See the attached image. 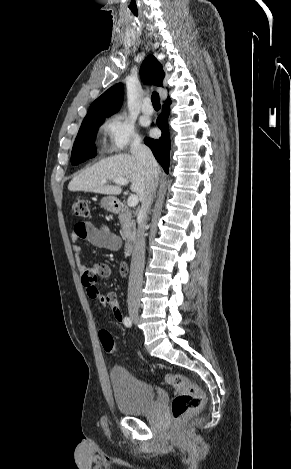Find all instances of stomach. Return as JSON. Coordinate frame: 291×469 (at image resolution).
<instances>
[{"label": "stomach", "instance_id": "0dacf381", "mask_svg": "<svg viewBox=\"0 0 291 469\" xmlns=\"http://www.w3.org/2000/svg\"><path fill=\"white\" fill-rule=\"evenodd\" d=\"M101 207L109 212H114L116 210L117 198L114 196H108L101 199Z\"/></svg>", "mask_w": 291, "mask_h": 469}]
</instances>
